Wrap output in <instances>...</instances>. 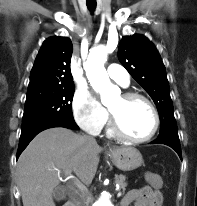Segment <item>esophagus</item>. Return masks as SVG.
Segmentation results:
<instances>
[{
	"instance_id": "obj_1",
	"label": "esophagus",
	"mask_w": 197,
	"mask_h": 206,
	"mask_svg": "<svg viewBox=\"0 0 197 206\" xmlns=\"http://www.w3.org/2000/svg\"><path fill=\"white\" fill-rule=\"evenodd\" d=\"M109 149H110V150H112V149H114V148H112V147H109Z\"/></svg>"
}]
</instances>
